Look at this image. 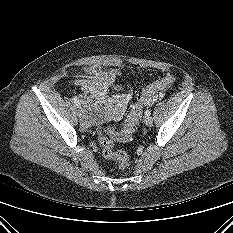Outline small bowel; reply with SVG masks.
<instances>
[{
    "instance_id": "1",
    "label": "small bowel",
    "mask_w": 233,
    "mask_h": 233,
    "mask_svg": "<svg viewBox=\"0 0 233 233\" xmlns=\"http://www.w3.org/2000/svg\"><path fill=\"white\" fill-rule=\"evenodd\" d=\"M119 73L117 69H111L105 73H99L96 70H87L74 80V85L81 88L85 93L92 94L99 100L108 102L113 116L119 118L131 98L129 93H124L113 100H108L109 89L115 86Z\"/></svg>"
}]
</instances>
